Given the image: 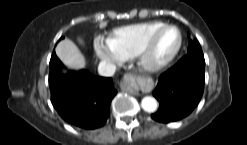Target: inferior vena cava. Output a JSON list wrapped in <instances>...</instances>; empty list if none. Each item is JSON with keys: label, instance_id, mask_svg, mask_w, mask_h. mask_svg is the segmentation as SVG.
Listing matches in <instances>:
<instances>
[{"label": "inferior vena cava", "instance_id": "1", "mask_svg": "<svg viewBox=\"0 0 247 145\" xmlns=\"http://www.w3.org/2000/svg\"><path fill=\"white\" fill-rule=\"evenodd\" d=\"M116 71V66L110 62L102 61L99 63L98 72L101 76H113Z\"/></svg>", "mask_w": 247, "mask_h": 145}]
</instances>
